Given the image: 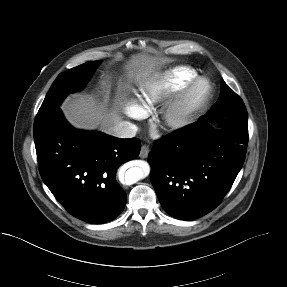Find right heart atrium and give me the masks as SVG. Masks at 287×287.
Segmentation results:
<instances>
[{"mask_svg": "<svg viewBox=\"0 0 287 287\" xmlns=\"http://www.w3.org/2000/svg\"><path fill=\"white\" fill-rule=\"evenodd\" d=\"M125 114L129 117L135 118L140 115V109L134 103H130L125 108Z\"/></svg>", "mask_w": 287, "mask_h": 287, "instance_id": "d8ad5b80", "label": "right heart atrium"}]
</instances>
